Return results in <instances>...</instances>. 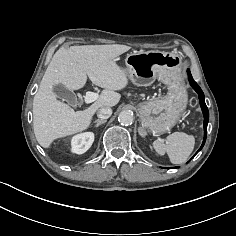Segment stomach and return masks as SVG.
Instances as JSON below:
<instances>
[{
    "label": "stomach",
    "mask_w": 236,
    "mask_h": 236,
    "mask_svg": "<svg viewBox=\"0 0 236 236\" xmlns=\"http://www.w3.org/2000/svg\"><path fill=\"white\" fill-rule=\"evenodd\" d=\"M129 79L138 86H149L157 78L168 85V94L161 100L140 103L142 127L161 134L172 128L187 106V92L182 82L178 58L160 51H134L125 59Z\"/></svg>",
    "instance_id": "stomach-1"
}]
</instances>
